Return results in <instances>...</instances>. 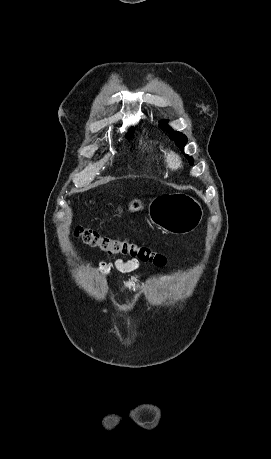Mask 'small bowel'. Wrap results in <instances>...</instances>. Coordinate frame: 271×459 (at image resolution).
I'll return each mask as SVG.
<instances>
[{
	"instance_id": "c3829d8e",
	"label": "small bowel",
	"mask_w": 271,
	"mask_h": 459,
	"mask_svg": "<svg viewBox=\"0 0 271 459\" xmlns=\"http://www.w3.org/2000/svg\"><path fill=\"white\" fill-rule=\"evenodd\" d=\"M139 261L138 259H135V258H132V259H129V260H123V259H117L115 261V267L117 268L118 271L122 272V273H131L135 270H137L139 268ZM97 270L105 275V276H109L110 275V269H109V266L107 265L106 262L104 261H101L98 266H97ZM121 289H124V290H132L135 288V283L134 282H131V281H127V282H124L122 284V286H119Z\"/></svg>"
}]
</instances>
